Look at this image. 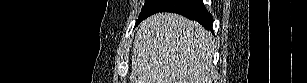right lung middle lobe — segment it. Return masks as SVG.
Listing matches in <instances>:
<instances>
[{
	"label": "right lung middle lobe",
	"instance_id": "1",
	"mask_svg": "<svg viewBox=\"0 0 307 83\" xmlns=\"http://www.w3.org/2000/svg\"><path fill=\"white\" fill-rule=\"evenodd\" d=\"M155 0H146L145 1V4H144V7L139 15V18L137 20V23L136 25H138L146 16L147 14L149 13L152 5L154 4Z\"/></svg>",
	"mask_w": 307,
	"mask_h": 83
}]
</instances>
